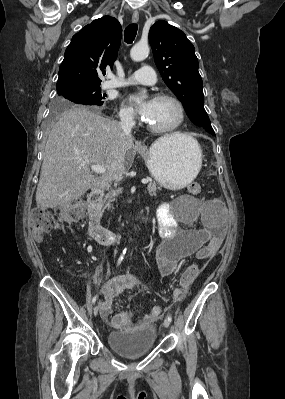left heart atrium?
Here are the masks:
<instances>
[{
    "instance_id": "1",
    "label": "left heart atrium",
    "mask_w": 285,
    "mask_h": 399,
    "mask_svg": "<svg viewBox=\"0 0 285 399\" xmlns=\"http://www.w3.org/2000/svg\"><path fill=\"white\" fill-rule=\"evenodd\" d=\"M131 101L136 105L137 110L139 113L147 119L150 116L152 110V103L153 101H141L138 96L131 97Z\"/></svg>"
}]
</instances>
